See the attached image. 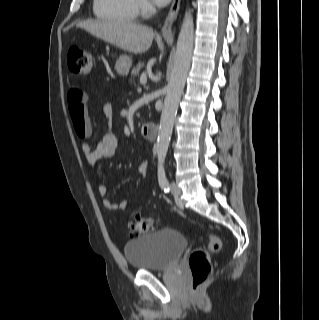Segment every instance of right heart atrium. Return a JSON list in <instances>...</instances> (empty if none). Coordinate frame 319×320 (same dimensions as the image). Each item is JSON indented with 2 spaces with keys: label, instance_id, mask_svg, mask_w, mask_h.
Returning <instances> with one entry per match:
<instances>
[{
  "label": "right heart atrium",
  "instance_id": "obj_1",
  "mask_svg": "<svg viewBox=\"0 0 319 320\" xmlns=\"http://www.w3.org/2000/svg\"><path fill=\"white\" fill-rule=\"evenodd\" d=\"M140 13L147 14L152 10V5L148 0H136Z\"/></svg>",
  "mask_w": 319,
  "mask_h": 320
}]
</instances>
